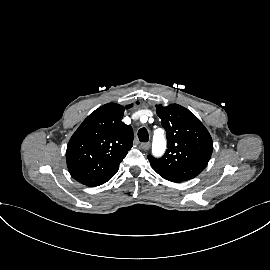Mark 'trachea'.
Segmentation results:
<instances>
[{
	"label": "trachea",
	"mask_w": 270,
	"mask_h": 270,
	"mask_svg": "<svg viewBox=\"0 0 270 270\" xmlns=\"http://www.w3.org/2000/svg\"><path fill=\"white\" fill-rule=\"evenodd\" d=\"M138 137L140 142H147L149 140V134L146 128H141L138 131Z\"/></svg>",
	"instance_id": "3493384b"
}]
</instances>
